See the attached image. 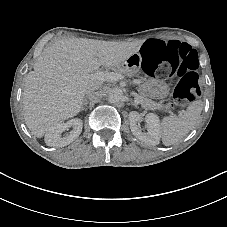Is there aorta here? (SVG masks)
<instances>
[{"label":"aorta","instance_id":"1","mask_svg":"<svg viewBox=\"0 0 227 227\" xmlns=\"http://www.w3.org/2000/svg\"><path fill=\"white\" fill-rule=\"evenodd\" d=\"M123 98L124 94L120 88L111 89L107 94V99L110 103H119Z\"/></svg>","mask_w":227,"mask_h":227}]
</instances>
